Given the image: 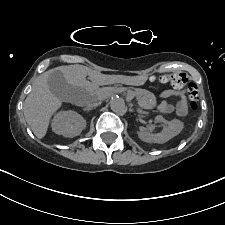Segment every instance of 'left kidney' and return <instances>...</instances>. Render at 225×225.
Segmentation results:
<instances>
[{
	"label": "left kidney",
	"mask_w": 225,
	"mask_h": 225,
	"mask_svg": "<svg viewBox=\"0 0 225 225\" xmlns=\"http://www.w3.org/2000/svg\"><path fill=\"white\" fill-rule=\"evenodd\" d=\"M157 123H164L166 126L160 133L153 134L147 131L140 130L137 132L138 137L147 143H165L178 135L183 129V123L177 119L168 121L162 115L155 117Z\"/></svg>",
	"instance_id": "5707ae66"
}]
</instances>
